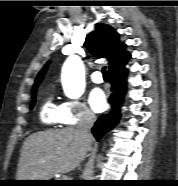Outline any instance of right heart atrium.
I'll return each mask as SVG.
<instances>
[{"label":"right heart atrium","mask_w":178,"mask_h":186,"mask_svg":"<svg viewBox=\"0 0 178 186\" xmlns=\"http://www.w3.org/2000/svg\"><path fill=\"white\" fill-rule=\"evenodd\" d=\"M62 115L65 124L77 125L91 123L95 120L94 113L81 100H68L62 104Z\"/></svg>","instance_id":"obj_1"}]
</instances>
